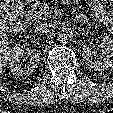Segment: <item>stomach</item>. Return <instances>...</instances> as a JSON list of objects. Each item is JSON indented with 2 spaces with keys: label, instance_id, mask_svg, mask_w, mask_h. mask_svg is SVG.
Masks as SVG:
<instances>
[{
  "label": "stomach",
  "instance_id": "0dacf381",
  "mask_svg": "<svg viewBox=\"0 0 113 113\" xmlns=\"http://www.w3.org/2000/svg\"><path fill=\"white\" fill-rule=\"evenodd\" d=\"M19 1H22V2H30L32 0H19Z\"/></svg>",
  "mask_w": 113,
  "mask_h": 113
}]
</instances>
